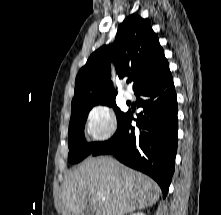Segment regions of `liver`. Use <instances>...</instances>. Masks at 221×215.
I'll return each instance as SVG.
<instances>
[{
    "instance_id": "liver-1",
    "label": "liver",
    "mask_w": 221,
    "mask_h": 215,
    "mask_svg": "<svg viewBox=\"0 0 221 215\" xmlns=\"http://www.w3.org/2000/svg\"><path fill=\"white\" fill-rule=\"evenodd\" d=\"M160 192L150 177L112 158H88L65 176L63 215H81L87 205L95 215H125L152 206Z\"/></svg>"
}]
</instances>
